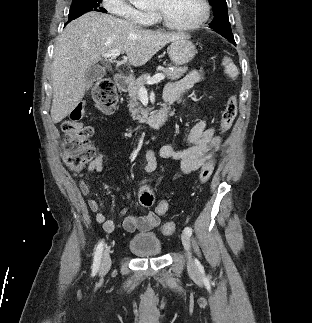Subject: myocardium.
Segmentation results:
<instances>
[{
	"instance_id": "obj_1",
	"label": "myocardium",
	"mask_w": 312,
	"mask_h": 323,
	"mask_svg": "<svg viewBox=\"0 0 312 323\" xmlns=\"http://www.w3.org/2000/svg\"><path fill=\"white\" fill-rule=\"evenodd\" d=\"M197 2L202 8L199 18L193 20H171L164 8H157L156 19L159 25H168L169 31H200L202 21H209L212 8L209 0H197Z\"/></svg>"
}]
</instances>
